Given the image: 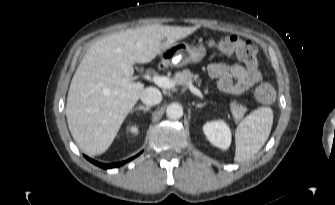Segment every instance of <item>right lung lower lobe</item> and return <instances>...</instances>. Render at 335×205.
Here are the masks:
<instances>
[{"mask_svg": "<svg viewBox=\"0 0 335 205\" xmlns=\"http://www.w3.org/2000/svg\"><path fill=\"white\" fill-rule=\"evenodd\" d=\"M86 157V159H88L90 162H92L93 164H95V165H97V166H99V167H101V168H104V169H108V168H113V167H119V166H122L123 164H125L126 162H128V161H130V160H132L133 158H131V159H128V160H126V161H123V162H118V163H113V164H103V163H99V162H97V161H95V160H92V159H90L89 157H87V156H85Z\"/></svg>", "mask_w": 335, "mask_h": 205, "instance_id": "obj_1", "label": "right lung lower lobe"}]
</instances>
